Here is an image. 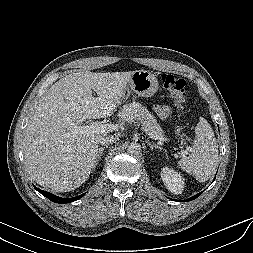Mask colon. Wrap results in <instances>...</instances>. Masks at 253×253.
Masks as SVG:
<instances>
[{"label":"colon","mask_w":253,"mask_h":253,"mask_svg":"<svg viewBox=\"0 0 253 253\" xmlns=\"http://www.w3.org/2000/svg\"><path fill=\"white\" fill-rule=\"evenodd\" d=\"M161 80L164 88L168 90L176 105L182 108L186 103L184 80L169 73H164Z\"/></svg>","instance_id":"5ec220e1"}]
</instances>
